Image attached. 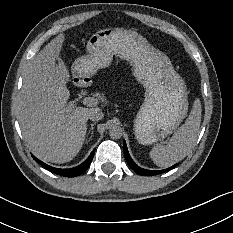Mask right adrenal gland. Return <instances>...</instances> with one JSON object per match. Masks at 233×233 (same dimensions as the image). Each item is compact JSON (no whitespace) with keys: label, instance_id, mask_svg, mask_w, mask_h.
Returning a JSON list of instances; mask_svg holds the SVG:
<instances>
[{"label":"right adrenal gland","instance_id":"2a0ac1e0","mask_svg":"<svg viewBox=\"0 0 233 233\" xmlns=\"http://www.w3.org/2000/svg\"><path fill=\"white\" fill-rule=\"evenodd\" d=\"M97 122H94V123H92L91 124V127L89 128V130H88V133H92V136H93V134H94V125L96 124Z\"/></svg>","mask_w":233,"mask_h":233}]
</instances>
